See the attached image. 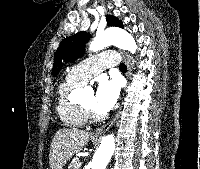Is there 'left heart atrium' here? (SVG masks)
Masks as SVG:
<instances>
[{"mask_svg":"<svg viewBox=\"0 0 200 169\" xmlns=\"http://www.w3.org/2000/svg\"><path fill=\"white\" fill-rule=\"evenodd\" d=\"M119 84L115 80H102L95 94L96 108L100 114L108 113L116 104L119 97Z\"/></svg>","mask_w":200,"mask_h":169,"instance_id":"obj_1","label":"left heart atrium"}]
</instances>
